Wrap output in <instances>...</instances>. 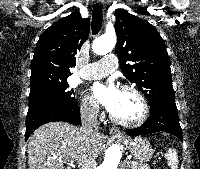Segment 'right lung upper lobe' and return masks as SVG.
Segmentation results:
<instances>
[{
	"mask_svg": "<svg viewBox=\"0 0 200 169\" xmlns=\"http://www.w3.org/2000/svg\"><path fill=\"white\" fill-rule=\"evenodd\" d=\"M89 19L78 11L60 19L40 36L31 62L30 87L46 81H61L71 75L75 55L87 40Z\"/></svg>",
	"mask_w": 200,
	"mask_h": 169,
	"instance_id": "cb5924a9",
	"label": "right lung upper lobe"
}]
</instances>
